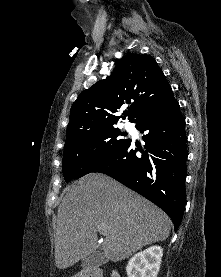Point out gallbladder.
Segmentation results:
<instances>
[{
  "mask_svg": "<svg viewBox=\"0 0 221 277\" xmlns=\"http://www.w3.org/2000/svg\"><path fill=\"white\" fill-rule=\"evenodd\" d=\"M107 262L101 251H95L82 260L81 266L83 268H90L94 266H101Z\"/></svg>",
  "mask_w": 221,
  "mask_h": 277,
  "instance_id": "bac80fb5",
  "label": "gallbladder"
}]
</instances>
